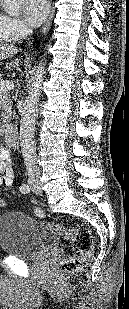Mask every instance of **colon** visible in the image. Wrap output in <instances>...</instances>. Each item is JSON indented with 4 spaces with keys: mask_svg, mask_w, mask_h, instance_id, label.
Segmentation results:
<instances>
[{
    "mask_svg": "<svg viewBox=\"0 0 129 309\" xmlns=\"http://www.w3.org/2000/svg\"><path fill=\"white\" fill-rule=\"evenodd\" d=\"M5 202L0 199V207H3ZM38 216L42 217L43 212L37 210ZM49 227L71 241L72 249L75 255L65 259L61 264V272L63 274H71L82 270L89 262L93 253V237L88 227L80 225L75 228H65L63 226L50 223Z\"/></svg>",
    "mask_w": 129,
    "mask_h": 309,
    "instance_id": "obj_1",
    "label": "colon"
}]
</instances>
